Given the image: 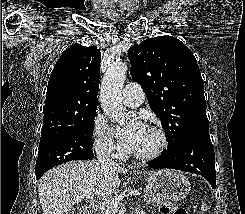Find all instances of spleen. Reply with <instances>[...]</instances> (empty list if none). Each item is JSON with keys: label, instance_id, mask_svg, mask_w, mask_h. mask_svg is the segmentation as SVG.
<instances>
[{"label": "spleen", "instance_id": "1", "mask_svg": "<svg viewBox=\"0 0 245 214\" xmlns=\"http://www.w3.org/2000/svg\"><path fill=\"white\" fill-rule=\"evenodd\" d=\"M201 209H202V211H207V209H208V205L206 204L205 200L203 201V203L201 205Z\"/></svg>", "mask_w": 245, "mask_h": 214}]
</instances>
